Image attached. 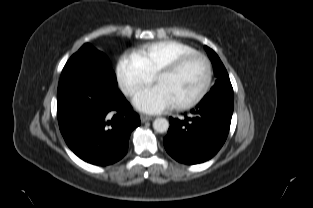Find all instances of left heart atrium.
<instances>
[{"mask_svg":"<svg viewBox=\"0 0 313 208\" xmlns=\"http://www.w3.org/2000/svg\"><path fill=\"white\" fill-rule=\"evenodd\" d=\"M133 104L138 110L149 114L161 113L174 106L173 100L160 85L137 91L133 96Z\"/></svg>","mask_w":313,"mask_h":208,"instance_id":"left-heart-atrium-1","label":"left heart atrium"}]
</instances>
